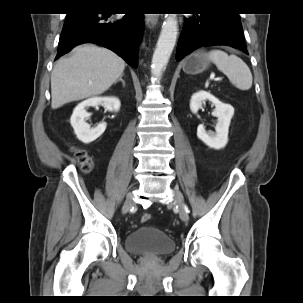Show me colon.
<instances>
[{
	"instance_id": "1",
	"label": "colon",
	"mask_w": 303,
	"mask_h": 303,
	"mask_svg": "<svg viewBox=\"0 0 303 303\" xmlns=\"http://www.w3.org/2000/svg\"><path fill=\"white\" fill-rule=\"evenodd\" d=\"M76 156L79 162L81 163L84 171H90L92 169L93 166L92 159L86 152H84L83 150H79L77 151ZM150 219H151V215L149 213H143L141 215L140 221L142 223H146Z\"/></svg>"
}]
</instances>
